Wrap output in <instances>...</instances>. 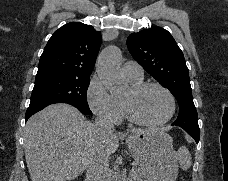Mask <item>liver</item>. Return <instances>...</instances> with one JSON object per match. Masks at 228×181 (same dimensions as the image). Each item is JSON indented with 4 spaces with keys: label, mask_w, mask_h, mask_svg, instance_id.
<instances>
[{
    "label": "liver",
    "mask_w": 228,
    "mask_h": 181,
    "mask_svg": "<svg viewBox=\"0 0 228 181\" xmlns=\"http://www.w3.org/2000/svg\"><path fill=\"white\" fill-rule=\"evenodd\" d=\"M89 121L71 105L57 103L30 117L24 133L25 159L31 181H73L87 169L92 151L113 155L116 133L90 135ZM164 129H130V133Z\"/></svg>",
    "instance_id": "obj_1"
}]
</instances>
